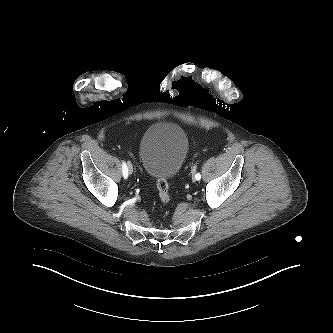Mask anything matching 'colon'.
Returning <instances> with one entry per match:
<instances>
[{
  "label": "colon",
  "mask_w": 333,
  "mask_h": 333,
  "mask_svg": "<svg viewBox=\"0 0 333 333\" xmlns=\"http://www.w3.org/2000/svg\"><path fill=\"white\" fill-rule=\"evenodd\" d=\"M157 189L159 193V199L163 205H167L170 200V194H169V185L166 179L159 178L157 180Z\"/></svg>",
  "instance_id": "obj_1"
}]
</instances>
